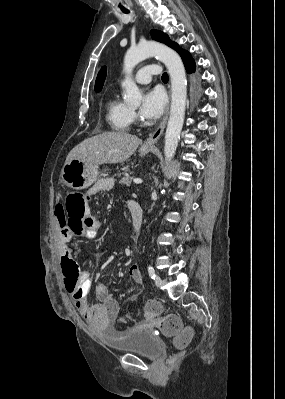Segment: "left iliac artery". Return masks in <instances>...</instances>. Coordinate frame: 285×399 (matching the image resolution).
<instances>
[{
  "instance_id": "1",
  "label": "left iliac artery",
  "mask_w": 285,
  "mask_h": 399,
  "mask_svg": "<svg viewBox=\"0 0 285 399\" xmlns=\"http://www.w3.org/2000/svg\"><path fill=\"white\" fill-rule=\"evenodd\" d=\"M148 273H149V276L153 279V280H155V270H154V268L151 266V265H149L148 266Z\"/></svg>"
}]
</instances>
